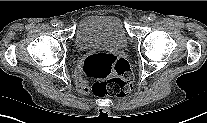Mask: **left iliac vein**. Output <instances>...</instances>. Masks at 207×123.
<instances>
[{"label":"left iliac vein","instance_id":"1","mask_svg":"<svg viewBox=\"0 0 207 123\" xmlns=\"http://www.w3.org/2000/svg\"><path fill=\"white\" fill-rule=\"evenodd\" d=\"M141 21L144 23H148L149 19L147 16H142Z\"/></svg>","mask_w":207,"mask_h":123}]
</instances>
